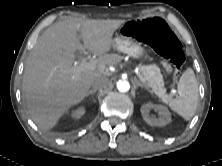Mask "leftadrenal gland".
<instances>
[{
  "label": "left adrenal gland",
  "mask_w": 222,
  "mask_h": 166,
  "mask_svg": "<svg viewBox=\"0 0 222 166\" xmlns=\"http://www.w3.org/2000/svg\"><path fill=\"white\" fill-rule=\"evenodd\" d=\"M135 83H136V86L137 87H141V88H145L147 90H149V88L145 85V84H142L140 81H138L137 79H135Z\"/></svg>",
  "instance_id": "left-adrenal-gland-1"
}]
</instances>
